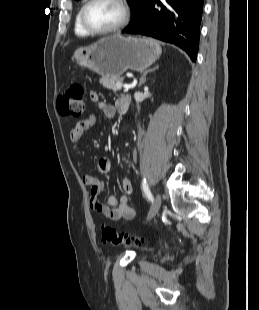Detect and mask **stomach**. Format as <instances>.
I'll return each mask as SVG.
<instances>
[{
  "instance_id": "0dacf381",
  "label": "stomach",
  "mask_w": 259,
  "mask_h": 310,
  "mask_svg": "<svg viewBox=\"0 0 259 310\" xmlns=\"http://www.w3.org/2000/svg\"><path fill=\"white\" fill-rule=\"evenodd\" d=\"M161 55L159 44L148 38L112 35L74 52L78 65L102 75L120 77L126 70L144 71Z\"/></svg>"
}]
</instances>
